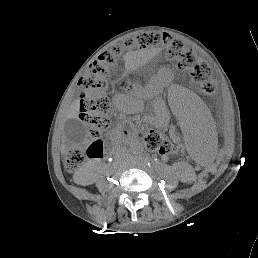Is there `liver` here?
Wrapping results in <instances>:
<instances>
[{"mask_svg":"<svg viewBox=\"0 0 258 258\" xmlns=\"http://www.w3.org/2000/svg\"><path fill=\"white\" fill-rule=\"evenodd\" d=\"M79 108H80V104L79 101H77L73 107H72V111H71V118H77L79 115Z\"/></svg>","mask_w":258,"mask_h":258,"instance_id":"1","label":"liver"}]
</instances>
